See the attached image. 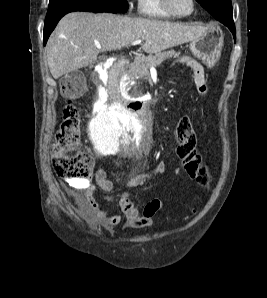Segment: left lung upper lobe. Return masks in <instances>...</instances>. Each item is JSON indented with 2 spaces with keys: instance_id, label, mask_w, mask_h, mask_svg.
<instances>
[{
  "instance_id": "obj_1",
  "label": "left lung upper lobe",
  "mask_w": 267,
  "mask_h": 298,
  "mask_svg": "<svg viewBox=\"0 0 267 298\" xmlns=\"http://www.w3.org/2000/svg\"><path fill=\"white\" fill-rule=\"evenodd\" d=\"M217 20L232 17L231 0H197Z\"/></svg>"
}]
</instances>
